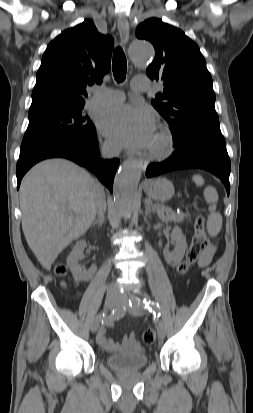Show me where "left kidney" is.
<instances>
[{
  "instance_id": "left-kidney-1",
  "label": "left kidney",
  "mask_w": 253,
  "mask_h": 413,
  "mask_svg": "<svg viewBox=\"0 0 253 413\" xmlns=\"http://www.w3.org/2000/svg\"><path fill=\"white\" fill-rule=\"evenodd\" d=\"M171 241L175 244L174 250L170 252L168 248H165L163 255L169 265L175 266L181 262L187 249L186 238L179 227L173 228Z\"/></svg>"
}]
</instances>
